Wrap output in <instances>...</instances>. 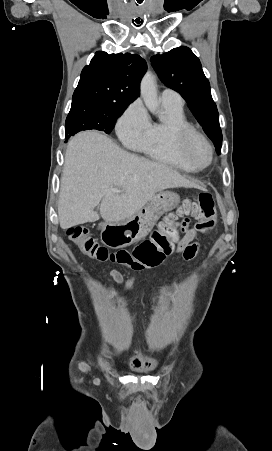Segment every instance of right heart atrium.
<instances>
[{
    "instance_id": "1",
    "label": "right heart atrium",
    "mask_w": 272,
    "mask_h": 451,
    "mask_svg": "<svg viewBox=\"0 0 272 451\" xmlns=\"http://www.w3.org/2000/svg\"><path fill=\"white\" fill-rule=\"evenodd\" d=\"M149 127V116L142 103L136 101L121 116L117 132L124 142L134 146L144 140Z\"/></svg>"
}]
</instances>
